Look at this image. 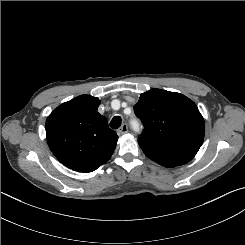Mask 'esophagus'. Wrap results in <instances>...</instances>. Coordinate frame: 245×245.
I'll return each mask as SVG.
<instances>
[{
    "instance_id": "1",
    "label": "esophagus",
    "mask_w": 245,
    "mask_h": 245,
    "mask_svg": "<svg viewBox=\"0 0 245 245\" xmlns=\"http://www.w3.org/2000/svg\"><path fill=\"white\" fill-rule=\"evenodd\" d=\"M128 132V126L126 124H123L119 129H118V134L123 135Z\"/></svg>"
}]
</instances>
